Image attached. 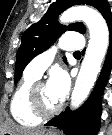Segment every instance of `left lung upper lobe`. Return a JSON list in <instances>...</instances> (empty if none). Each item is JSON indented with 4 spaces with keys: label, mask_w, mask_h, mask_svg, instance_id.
I'll list each match as a JSON object with an SVG mask.
<instances>
[{
    "label": "left lung upper lobe",
    "mask_w": 112,
    "mask_h": 135,
    "mask_svg": "<svg viewBox=\"0 0 112 135\" xmlns=\"http://www.w3.org/2000/svg\"><path fill=\"white\" fill-rule=\"evenodd\" d=\"M86 4L95 7L107 21L112 17L107 0H57L37 23L32 24L22 35V42L17 52L14 83H17L26 65L38 54L48 49L65 30L85 33L82 23H73L68 27L60 25L58 15L71 6ZM64 61L66 58L64 57Z\"/></svg>",
    "instance_id": "left-lung-upper-lobe-1"
}]
</instances>
